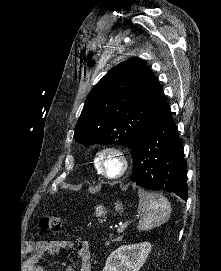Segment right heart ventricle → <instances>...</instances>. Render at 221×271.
Instances as JSON below:
<instances>
[{
    "instance_id": "obj_1",
    "label": "right heart ventricle",
    "mask_w": 221,
    "mask_h": 271,
    "mask_svg": "<svg viewBox=\"0 0 221 271\" xmlns=\"http://www.w3.org/2000/svg\"><path fill=\"white\" fill-rule=\"evenodd\" d=\"M89 163H91V167H98V162H96V158H89Z\"/></svg>"
}]
</instances>
